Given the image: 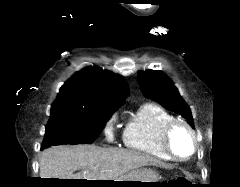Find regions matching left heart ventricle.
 I'll return each mask as SVG.
<instances>
[{
    "label": "left heart ventricle",
    "mask_w": 240,
    "mask_h": 187,
    "mask_svg": "<svg viewBox=\"0 0 240 187\" xmlns=\"http://www.w3.org/2000/svg\"><path fill=\"white\" fill-rule=\"evenodd\" d=\"M173 146L175 151L185 156L191 151V142L187 133L183 130H177L173 136Z\"/></svg>",
    "instance_id": "left-heart-ventricle-1"
}]
</instances>
